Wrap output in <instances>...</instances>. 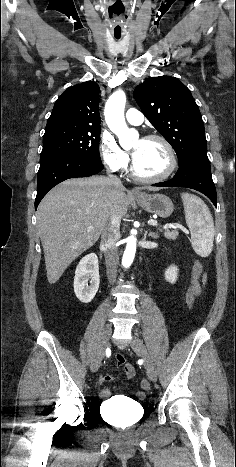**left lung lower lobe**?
<instances>
[{"label": "left lung lower lobe", "mask_w": 236, "mask_h": 467, "mask_svg": "<svg viewBox=\"0 0 236 467\" xmlns=\"http://www.w3.org/2000/svg\"><path fill=\"white\" fill-rule=\"evenodd\" d=\"M176 175L168 181L156 183L152 186L187 187L206 195L216 206L217 194L212 180L210 161L206 151H197L179 164Z\"/></svg>", "instance_id": "obj_1"}]
</instances>
